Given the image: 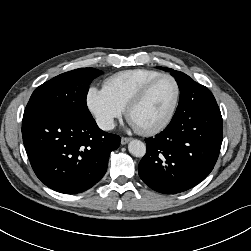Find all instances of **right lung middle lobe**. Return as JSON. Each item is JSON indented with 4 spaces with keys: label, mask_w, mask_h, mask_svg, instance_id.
Masks as SVG:
<instances>
[{
    "label": "right lung middle lobe",
    "mask_w": 251,
    "mask_h": 251,
    "mask_svg": "<svg viewBox=\"0 0 251 251\" xmlns=\"http://www.w3.org/2000/svg\"><path fill=\"white\" fill-rule=\"evenodd\" d=\"M102 74L94 68H79L60 74L35 89L28 104H41L66 111L77 118L90 117L86 104L89 85Z\"/></svg>",
    "instance_id": "right-lung-middle-lobe-1"
}]
</instances>
